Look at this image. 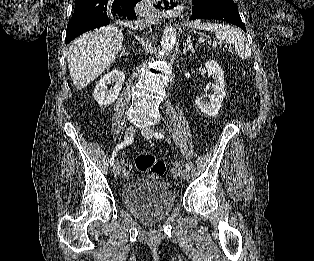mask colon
<instances>
[{
  "instance_id": "5ec220e1",
  "label": "colon",
  "mask_w": 314,
  "mask_h": 261,
  "mask_svg": "<svg viewBox=\"0 0 314 261\" xmlns=\"http://www.w3.org/2000/svg\"><path fill=\"white\" fill-rule=\"evenodd\" d=\"M135 165L139 172L147 173L152 179H156L166 172V165L162 160L157 159L150 154H142L136 157ZM181 171V166L176 164L173 166L171 172L174 176H178Z\"/></svg>"
}]
</instances>
